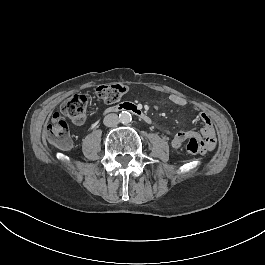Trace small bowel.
<instances>
[{
    "label": "small bowel",
    "mask_w": 265,
    "mask_h": 265,
    "mask_svg": "<svg viewBox=\"0 0 265 265\" xmlns=\"http://www.w3.org/2000/svg\"><path fill=\"white\" fill-rule=\"evenodd\" d=\"M169 99L174 105L180 107H185L188 104L183 97L176 94L171 95ZM197 120L202 124L201 128V134L203 136L202 139L200 136H197L195 133L193 134L192 132L180 131L173 136L171 145L173 148L179 149L189 137L193 136L195 138L197 136L200 148V154H205V156H208V152H205L207 151V147L209 151L213 150L215 147L214 126L211 118L206 113H199L197 115ZM205 144L207 146H204Z\"/></svg>",
    "instance_id": "c3829d8e"
}]
</instances>
